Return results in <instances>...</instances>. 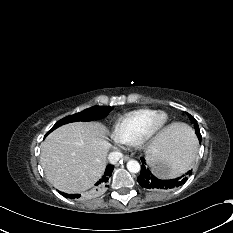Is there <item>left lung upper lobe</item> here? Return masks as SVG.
<instances>
[{"instance_id": "5c2ea615", "label": "left lung upper lobe", "mask_w": 233, "mask_h": 233, "mask_svg": "<svg viewBox=\"0 0 233 233\" xmlns=\"http://www.w3.org/2000/svg\"><path fill=\"white\" fill-rule=\"evenodd\" d=\"M187 114H188V113H187ZM188 116H189L190 120H191L193 123H195L194 127H195V129H196V135H197L198 139H201V134H200V131H199L198 124L196 123V120H195L190 114H188Z\"/></svg>"}]
</instances>
